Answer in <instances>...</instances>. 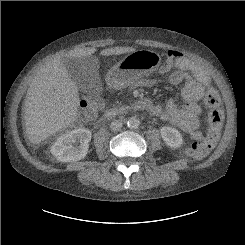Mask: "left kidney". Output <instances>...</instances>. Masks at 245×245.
Instances as JSON below:
<instances>
[{
	"label": "left kidney",
	"mask_w": 245,
	"mask_h": 245,
	"mask_svg": "<svg viewBox=\"0 0 245 245\" xmlns=\"http://www.w3.org/2000/svg\"><path fill=\"white\" fill-rule=\"evenodd\" d=\"M161 137L170 148H179L182 143V135L176 128L164 126L160 129Z\"/></svg>",
	"instance_id": "left-kidney-1"
}]
</instances>
